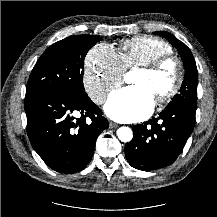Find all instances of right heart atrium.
<instances>
[{"label":"right heart atrium","instance_id":"obj_1","mask_svg":"<svg viewBox=\"0 0 217 217\" xmlns=\"http://www.w3.org/2000/svg\"><path fill=\"white\" fill-rule=\"evenodd\" d=\"M124 67L115 50L106 44L92 47L85 57L83 85L91 100L101 105L123 82Z\"/></svg>","mask_w":217,"mask_h":217}]
</instances>
